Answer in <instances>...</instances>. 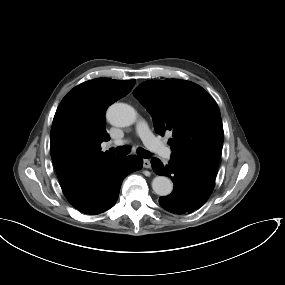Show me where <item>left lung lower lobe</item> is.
<instances>
[{"label": "left lung lower lobe", "mask_w": 285, "mask_h": 285, "mask_svg": "<svg viewBox=\"0 0 285 285\" xmlns=\"http://www.w3.org/2000/svg\"><path fill=\"white\" fill-rule=\"evenodd\" d=\"M151 166L156 174L168 176L174 183L173 192L159 199L160 205L171 213L185 214L199 209L213 191L217 170L174 158L166 166L153 158Z\"/></svg>", "instance_id": "obj_1"}]
</instances>
